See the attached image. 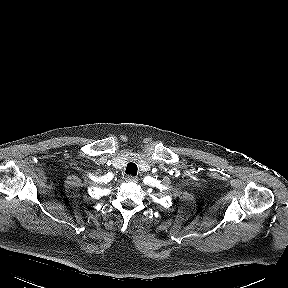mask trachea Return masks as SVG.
<instances>
[{
    "label": "trachea",
    "mask_w": 288,
    "mask_h": 288,
    "mask_svg": "<svg viewBox=\"0 0 288 288\" xmlns=\"http://www.w3.org/2000/svg\"><path fill=\"white\" fill-rule=\"evenodd\" d=\"M137 171H138V168H137V165L135 164V163H133V162H129L128 164H127V167H126V170H125V172L127 173V174H130V175H136L137 174Z\"/></svg>",
    "instance_id": "obj_1"
}]
</instances>
